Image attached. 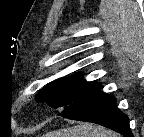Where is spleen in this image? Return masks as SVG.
<instances>
[{"mask_svg":"<svg viewBox=\"0 0 144 137\" xmlns=\"http://www.w3.org/2000/svg\"><path fill=\"white\" fill-rule=\"evenodd\" d=\"M56 137H120L117 133H114L104 127L94 125L92 123H81L69 127L67 129H61L58 131Z\"/></svg>","mask_w":144,"mask_h":137,"instance_id":"1","label":"spleen"}]
</instances>
